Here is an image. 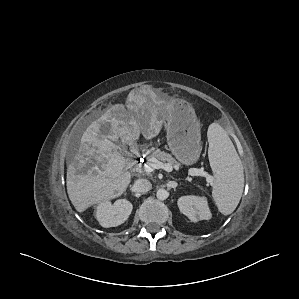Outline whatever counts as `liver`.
I'll use <instances>...</instances> for the list:
<instances>
[{
	"label": "liver",
	"mask_w": 299,
	"mask_h": 299,
	"mask_svg": "<svg viewBox=\"0 0 299 299\" xmlns=\"http://www.w3.org/2000/svg\"><path fill=\"white\" fill-rule=\"evenodd\" d=\"M150 106L145 98L137 106L127 104V109L122 104L113 105L85 130L78 153L67 166V193L78 212L126 191L131 174L124 171L125 158L113 141L121 138L132 143L141 133L146 139L158 135L162 127L159 112ZM104 124H110L111 134L101 133Z\"/></svg>",
	"instance_id": "1"
}]
</instances>
